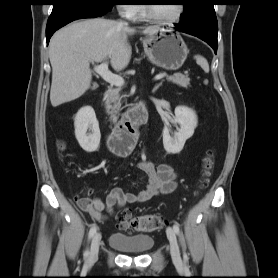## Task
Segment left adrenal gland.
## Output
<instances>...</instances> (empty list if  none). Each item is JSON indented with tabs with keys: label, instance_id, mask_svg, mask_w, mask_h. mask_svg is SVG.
Here are the masks:
<instances>
[{
	"label": "left adrenal gland",
	"instance_id": "left-adrenal-gland-1",
	"mask_svg": "<svg viewBox=\"0 0 278 278\" xmlns=\"http://www.w3.org/2000/svg\"><path fill=\"white\" fill-rule=\"evenodd\" d=\"M161 85H162V83L157 84V85L153 88L152 92L155 93V92L159 89V87H160Z\"/></svg>",
	"mask_w": 278,
	"mask_h": 278
}]
</instances>
